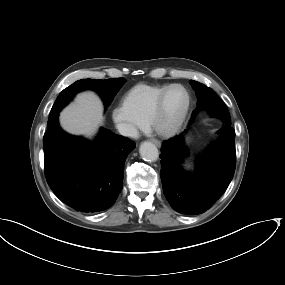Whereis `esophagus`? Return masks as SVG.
<instances>
[{"mask_svg": "<svg viewBox=\"0 0 285 285\" xmlns=\"http://www.w3.org/2000/svg\"><path fill=\"white\" fill-rule=\"evenodd\" d=\"M152 142H153L156 146L161 147V142H160L159 140H157V139H152Z\"/></svg>", "mask_w": 285, "mask_h": 285, "instance_id": "obj_1", "label": "esophagus"}]
</instances>
